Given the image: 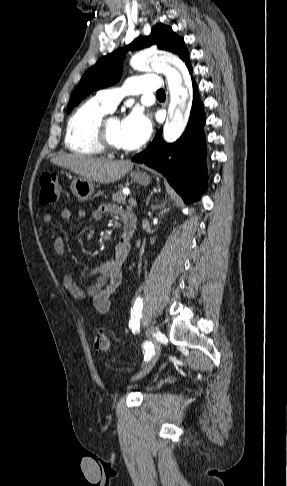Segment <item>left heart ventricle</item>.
Segmentation results:
<instances>
[{"label":"left heart ventricle","instance_id":"1","mask_svg":"<svg viewBox=\"0 0 287 486\" xmlns=\"http://www.w3.org/2000/svg\"><path fill=\"white\" fill-rule=\"evenodd\" d=\"M107 127L111 142L120 148H124L122 141L121 121L117 118H111L108 121Z\"/></svg>","mask_w":287,"mask_h":486}]
</instances>
